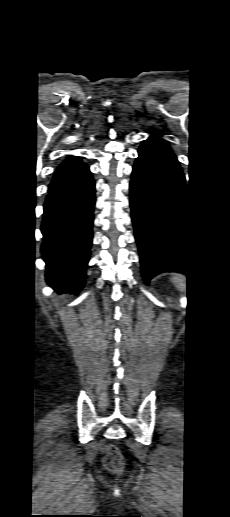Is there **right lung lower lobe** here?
I'll return each mask as SVG.
<instances>
[{
    "instance_id": "right-lung-lower-lobe-1",
    "label": "right lung lower lobe",
    "mask_w": 230,
    "mask_h": 517,
    "mask_svg": "<svg viewBox=\"0 0 230 517\" xmlns=\"http://www.w3.org/2000/svg\"><path fill=\"white\" fill-rule=\"evenodd\" d=\"M94 205L95 183L86 164L54 176L44 204L41 253L46 281L59 293L84 286Z\"/></svg>"
}]
</instances>
